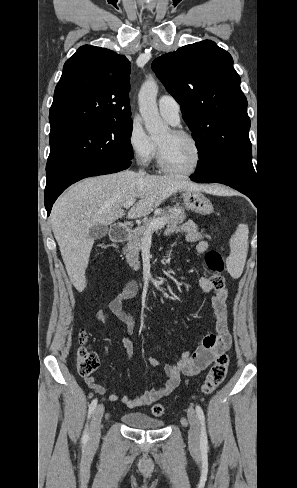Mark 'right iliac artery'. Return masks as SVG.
Here are the masks:
<instances>
[{"label": "right iliac artery", "instance_id": "82829eb1", "mask_svg": "<svg viewBox=\"0 0 297 488\" xmlns=\"http://www.w3.org/2000/svg\"><path fill=\"white\" fill-rule=\"evenodd\" d=\"M97 402H98L97 398L94 399V400H92V402H91V404L89 406L88 419L90 418L91 414L94 412V410H95V408L97 406ZM82 441H83V443H87V441H88L87 426H86V428L84 430V433H83V436H82Z\"/></svg>", "mask_w": 297, "mask_h": 488}]
</instances>
